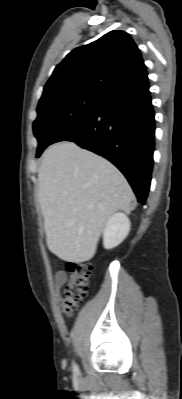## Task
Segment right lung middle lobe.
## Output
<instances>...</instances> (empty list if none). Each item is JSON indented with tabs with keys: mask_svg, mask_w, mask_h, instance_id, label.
<instances>
[{
	"mask_svg": "<svg viewBox=\"0 0 182 399\" xmlns=\"http://www.w3.org/2000/svg\"><path fill=\"white\" fill-rule=\"evenodd\" d=\"M103 101V96L73 94L39 102L38 117L33 123L34 135L39 143L36 157L52 143L58 132L94 113Z\"/></svg>",
	"mask_w": 182,
	"mask_h": 399,
	"instance_id": "right-lung-middle-lobe-1",
	"label": "right lung middle lobe"
}]
</instances>
